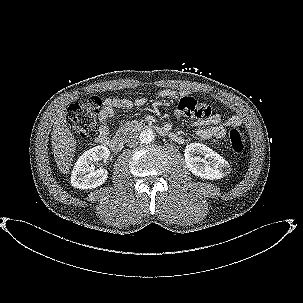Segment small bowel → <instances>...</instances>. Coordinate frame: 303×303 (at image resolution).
I'll list each match as a JSON object with an SVG mask.
<instances>
[{"instance_id":"c3829d8e","label":"small bowel","mask_w":303,"mask_h":303,"mask_svg":"<svg viewBox=\"0 0 303 303\" xmlns=\"http://www.w3.org/2000/svg\"><path fill=\"white\" fill-rule=\"evenodd\" d=\"M158 96L167 97L173 100H180L183 97L188 96L186 92H177L173 90H161L157 93ZM145 98H137L134 102L125 98H106L103 102V106L98 113L99 130L97 140L105 144L110 136V128L107 121L114 115L115 109H131L135 107H143L145 105ZM205 115L196 122V126L199 127L197 135L203 140H220L226 134V128L238 127L242 124V120L239 116L233 115L228 117L223 123L221 117L217 113H213L207 106H202ZM166 129L171 132V139L177 143H181L183 138L175 132H172L171 124H167Z\"/></svg>"}]
</instances>
